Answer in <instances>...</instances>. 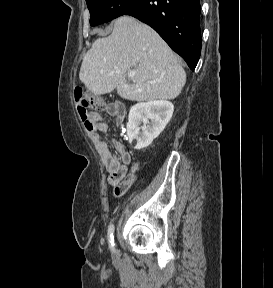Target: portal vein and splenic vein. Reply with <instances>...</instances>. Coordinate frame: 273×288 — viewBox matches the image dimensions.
Returning <instances> with one entry per match:
<instances>
[{
    "instance_id": "18ae733b",
    "label": "portal vein and splenic vein",
    "mask_w": 273,
    "mask_h": 288,
    "mask_svg": "<svg viewBox=\"0 0 273 288\" xmlns=\"http://www.w3.org/2000/svg\"><path fill=\"white\" fill-rule=\"evenodd\" d=\"M135 75V72L134 71H129L128 72V77H133Z\"/></svg>"
}]
</instances>
